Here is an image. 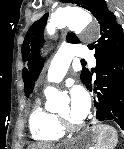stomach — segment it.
Returning <instances> with one entry per match:
<instances>
[{
	"mask_svg": "<svg viewBox=\"0 0 124 149\" xmlns=\"http://www.w3.org/2000/svg\"><path fill=\"white\" fill-rule=\"evenodd\" d=\"M98 141L95 127L89 128L80 133L73 141L70 149H88Z\"/></svg>",
	"mask_w": 124,
	"mask_h": 149,
	"instance_id": "obj_1",
	"label": "stomach"
}]
</instances>
